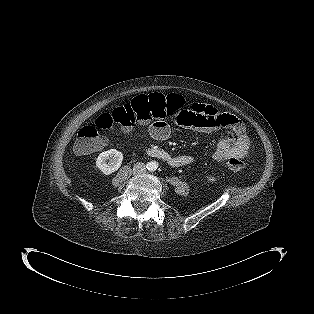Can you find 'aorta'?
I'll return each instance as SVG.
<instances>
[{
  "label": "aorta",
  "mask_w": 314,
  "mask_h": 314,
  "mask_svg": "<svg viewBox=\"0 0 314 314\" xmlns=\"http://www.w3.org/2000/svg\"><path fill=\"white\" fill-rule=\"evenodd\" d=\"M153 165H154L155 168H157V166H158V164H156V163H154Z\"/></svg>",
  "instance_id": "762f6f07"
}]
</instances>
